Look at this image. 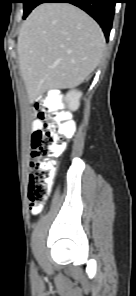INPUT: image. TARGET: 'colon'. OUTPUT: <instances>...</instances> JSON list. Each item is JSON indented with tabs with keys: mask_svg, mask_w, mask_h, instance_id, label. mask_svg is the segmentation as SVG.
I'll return each mask as SVG.
<instances>
[{
	"mask_svg": "<svg viewBox=\"0 0 136 296\" xmlns=\"http://www.w3.org/2000/svg\"><path fill=\"white\" fill-rule=\"evenodd\" d=\"M33 114L40 126L32 136L28 202L30 210L37 212L49 194L55 170L54 157L66 149L75 126L52 97L38 101Z\"/></svg>",
	"mask_w": 136,
	"mask_h": 296,
	"instance_id": "5ec220e1",
	"label": "colon"
}]
</instances>
